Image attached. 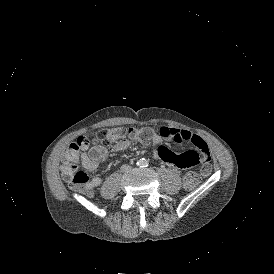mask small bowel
<instances>
[{"label": "small bowel", "mask_w": 274, "mask_h": 274, "mask_svg": "<svg viewBox=\"0 0 274 274\" xmlns=\"http://www.w3.org/2000/svg\"><path fill=\"white\" fill-rule=\"evenodd\" d=\"M166 139H173L177 142H191L196 147L190 146L188 149L182 150L180 156L178 151L162 146L163 141ZM129 145L130 142L121 136L114 142L113 151H124ZM152 147L158 160L169 167H176V171L179 174H184L188 170L193 169L194 164H201L200 171L203 174H208L215 168L214 161L210 160V152L207 143L199 135L188 130L162 127L153 135ZM80 150L82 152L81 164L90 172L95 171L108 156V151L103 145L95 144L90 146L88 141H84V143L80 144ZM201 150L205 151L203 152ZM101 183L102 180L95 177L87 186L89 189H93L99 187Z\"/></svg>", "instance_id": "obj_1"}]
</instances>
